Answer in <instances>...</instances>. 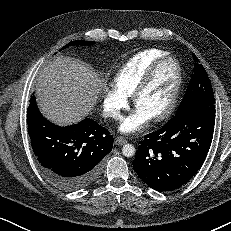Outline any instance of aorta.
Returning a JSON list of instances; mask_svg holds the SVG:
<instances>
[{"mask_svg":"<svg viewBox=\"0 0 231 231\" xmlns=\"http://www.w3.org/2000/svg\"><path fill=\"white\" fill-rule=\"evenodd\" d=\"M122 153L126 157H131L135 154V147L131 144H125L122 148Z\"/></svg>","mask_w":231,"mask_h":231,"instance_id":"aorta-1","label":"aorta"}]
</instances>
